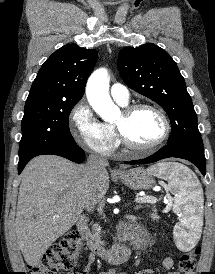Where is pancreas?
Returning a JSON list of instances; mask_svg holds the SVG:
<instances>
[{
  "instance_id": "obj_1",
  "label": "pancreas",
  "mask_w": 215,
  "mask_h": 274,
  "mask_svg": "<svg viewBox=\"0 0 215 274\" xmlns=\"http://www.w3.org/2000/svg\"><path fill=\"white\" fill-rule=\"evenodd\" d=\"M155 203V202H154ZM92 234L90 235L91 238L99 243V244H103V242L101 241V227L96 223L93 225V228H92Z\"/></svg>"
}]
</instances>
